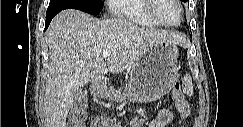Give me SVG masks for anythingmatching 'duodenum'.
<instances>
[{
  "label": "duodenum",
  "instance_id": "duodenum-1",
  "mask_svg": "<svg viewBox=\"0 0 243 127\" xmlns=\"http://www.w3.org/2000/svg\"><path fill=\"white\" fill-rule=\"evenodd\" d=\"M107 81L106 78L103 75H100L96 81V83L94 84V87L97 89L102 88V86L106 85Z\"/></svg>",
  "mask_w": 243,
  "mask_h": 127
}]
</instances>
